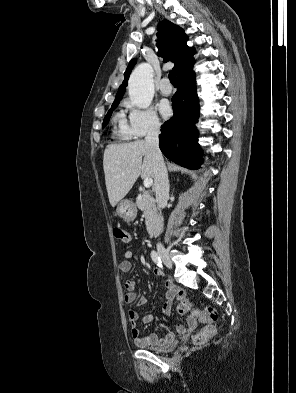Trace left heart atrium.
Returning a JSON list of instances; mask_svg holds the SVG:
<instances>
[{"mask_svg":"<svg viewBox=\"0 0 296 393\" xmlns=\"http://www.w3.org/2000/svg\"><path fill=\"white\" fill-rule=\"evenodd\" d=\"M159 110L164 118H169L172 114V108L166 101H163L159 104Z\"/></svg>","mask_w":296,"mask_h":393,"instance_id":"left-heart-atrium-1","label":"left heart atrium"}]
</instances>
